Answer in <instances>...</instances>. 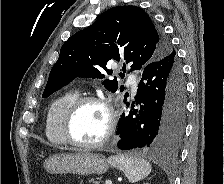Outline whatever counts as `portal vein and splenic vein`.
Listing matches in <instances>:
<instances>
[{
	"instance_id": "18ae733b",
	"label": "portal vein and splenic vein",
	"mask_w": 224,
	"mask_h": 184,
	"mask_svg": "<svg viewBox=\"0 0 224 184\" xmlns=\"http://www.w3.org/2000/svg\"><path fill=\"white\" fill-rule=\"evenodd\" d=\"M105 184H112L111 180H106Z\"/></svg>"
}]
</instances>
